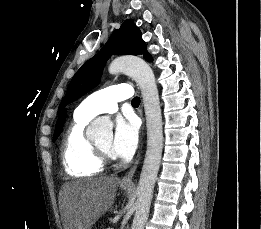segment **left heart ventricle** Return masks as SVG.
Masks as SVG:
<instances>
[{
	"label": "left heart ventricle",
	"mask_w": 261,
	"mask_h": 229,
	"mask_svg": "<svg viewBox=\"0 0 261 229\" xmlns=\"http://www.w3.org/2000/svg\"><path fill=\"white\" fill-rule=\"evenodd\" d=\"M112 137L111 134L108 136L103 137L98 144L102 146L104 149L110 151V145H111Z\"/></svg>",
	"instance_id": "left-heart-ventricle-1"
}]
</instances>
